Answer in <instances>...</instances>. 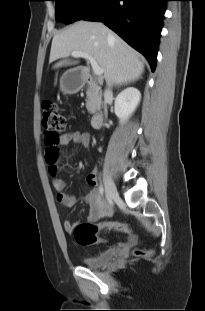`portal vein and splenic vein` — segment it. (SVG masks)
Wrapping results in <instances>:
<instances>
[{"label":"portal vein and splenic vein","instance_id":"1","mask_svg":"<svg viewBox=\"0 0 205 311\" xmlns=\"http://www.w3.org/2000/svg\"><path fill=\"white\" fill-rule=\"evenodd\" d=\"M71 55L73 57H82L84 59H87L93 69V72L95 75L99 76L103 74V69L98 65V63L95 61V59L88 54L82 53V52H72Z\"/></svg>","mask_w":205,"mask_h":311}]
</instances>
